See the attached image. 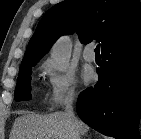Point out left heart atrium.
Instances as JSON below:
<instances>
[{"mask_svg":"<svg viewBox=\"0 0 141 139\" xmlns=\"http://www.w3.org/2000/svg\"><path fill=\"white\" fill-rule=\"evenodd\" d=\"M94 77H95V75H94L93 71L90 69H85L82 72V79L85 84L91 83L94 80Z\"/></svg>","mask_w":141,"mask_h":139,"instance_id":"left-heart-atrium-1","label":"left heart atrium"}]
</instances>
